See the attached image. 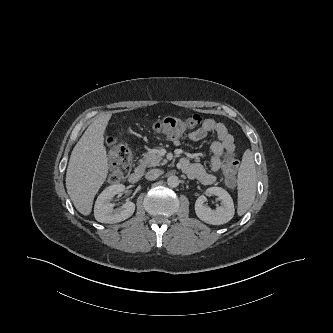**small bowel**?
Returning a JSON list of instances; mask_svg holds the SVG:
<instances>
[{"instance_id":"obj_1","label":"small bowel","mask_w":333,"mask_h":333,"mask_svg":"<svg viewBox=\"0 0 333 333\" xmlns=\"http://www.w3.org/2000/svg\"><path fill=\"white\" fill-rule=\"evenodd\" d=\"M215 133L218 140L211 144L212 156L210 159V171L199 163L190 162L186 158L179 161L180 168L191 178L198 180L203 185H213L216 182V173L223 167L222 157L227 151H235L234 138L226 126L214 119H205L201 126L187 133L189 139L198 141L204 139L209 133ZM174 145L179 146V138L173 140Z\"/></svg>"}]
</instances>
